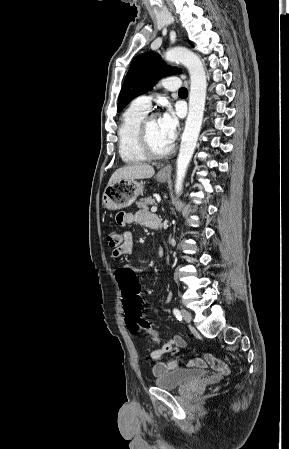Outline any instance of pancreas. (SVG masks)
Returning a JSON list of instances; mask_svg holds the SVG:
<instances>
[{
  "mask_svg": "<svg viewBox=\"0 0 289 449\" xmlns=\"http://www.w3.org/2000/svg\"><path fill=\"white\" fill-rule=\"evenodd\" d=\"M155 204V200L152 197H148L137 202V206L139 208H148L151 205Z\"/></svg>",
  "mask_w": 289,
  "mask_h": 449,
  "instance_id": "pancreas-1",
  "label": "pancreas"
}]
</instances>
